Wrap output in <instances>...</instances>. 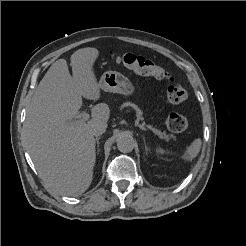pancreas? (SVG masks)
<instances>
[{"label":"pancreas","instance_id":"cf45deb5","mask_svg":"<svg viewBox=\"0 0 246 246\" xmlns=\"http://www.w3.org/2000/svg\"><path fill=\"white\" fill-rule=\"evenodd\" d=\"M122 106L134 108L136 110L138 119L143 120V117H142L143 112L140 110V108L136 104L131 103V102H125ZM147 127H151V126L147 125ZM151 131L154 132L155 134H157L159 137L166 139L167 141H169L171 139V136L167 135L166 132H161L160 130L155 129V128H152Z\"/></svg>","mask_w":246,"mask_h":246}]
</instances>
